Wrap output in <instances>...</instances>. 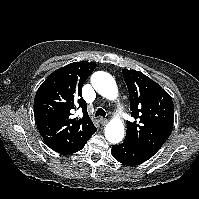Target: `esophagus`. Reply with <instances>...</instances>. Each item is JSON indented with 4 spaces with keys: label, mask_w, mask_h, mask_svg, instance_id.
Segmentation results:
<instances>
[{
    "label": "esophagus",
    "mask_w": 199,
    "mask_h": 199,
    "mask_svg": "<svg viewBox=\"0 0 199 199\" xmlns=\"http://www.w3.org/2000/svg\"><path fill=\"white\" fill-rule=\"evenodd\" d=\"M99 121H100L101 125H105V124H107V122H108V120L105 119V118H100Z\"/></svg>",
    "instance_id": "34e87169"
}]
</instances>
